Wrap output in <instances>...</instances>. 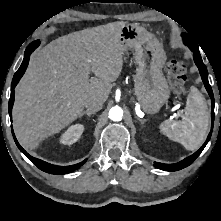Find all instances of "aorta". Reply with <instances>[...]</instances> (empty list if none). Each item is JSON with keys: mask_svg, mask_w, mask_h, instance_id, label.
<instances>
[{"mask_svg": "<svg viewBox=\"0 0 221 221\" xmlns=\"http://www.w3.org/2000/svg\"><path fill=\"white\" fill-rule=\"evenodd\" d=\"M109 119L112 121H121L123 117V110L119 106H114L109 110Z\"/></svg>", "mask_w": 221, "mask_h": 221, "instance_id": "obj_1", "label": "aorta"}]
</instances>
